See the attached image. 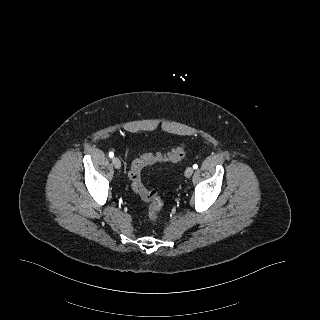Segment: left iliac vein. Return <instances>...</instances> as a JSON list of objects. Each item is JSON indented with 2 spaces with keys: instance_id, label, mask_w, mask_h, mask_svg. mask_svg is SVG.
<instances>
[{
  "instance_id": "obj_1",
  "label": "left iliac vein",
  "mask_w": 320,
  "mask_h": 320,
  "mask_svg": "<svg viewBox=\"0 0 320 320\" xmlns=\"http://www.w3.org/2000/svg\"><path fill=\"white\" fill-rule=\"evenodd\" d=\"M193 172H194V169H193L192 167H188V168L185 170V176H186L187 178H189V177L192 176Z\"/></svg>"
}]
</instances>
